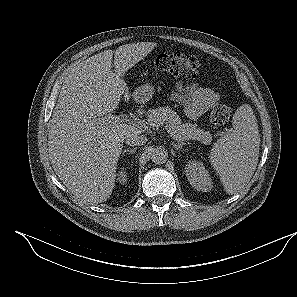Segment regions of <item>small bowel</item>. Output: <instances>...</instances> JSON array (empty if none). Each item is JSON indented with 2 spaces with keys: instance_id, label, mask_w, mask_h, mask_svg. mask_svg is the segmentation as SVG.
Masks as SVG:
<instances>
[{
  "instance_id": "1",
  "label": "small bowel",
  "mask_w": 297,
  "mask_h": 297,
  "mask_svg": "<svg viewBox=\"0 0 297 297\" xmlns=\"http://www.w3.org/2000/svg\"><path fill=\"white\" fill-rule=\"evenodd\" d=\"M170 98L181 105L190 120H196L219 102V95L209 87L200 86L196 81L185 84L179 80Z\"/></svg>"
}]
</instances>
